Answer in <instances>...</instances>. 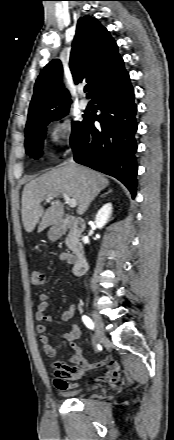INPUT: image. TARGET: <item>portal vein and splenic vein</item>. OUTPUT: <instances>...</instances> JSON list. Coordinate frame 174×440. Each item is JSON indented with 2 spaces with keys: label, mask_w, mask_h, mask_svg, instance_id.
<instances>
[{
  "label": "portal vein and splenic vein",
  "mask_w": 174,
  "mask_h": 440,
  "mask_svg": "<svg viewBox=\"0 0 174 440\" xmlns=\"http://www.w3.org/2000/svg\"><path fill=\"white\" fill-rule=\"evenodd\" d=\"M62 196H63L65 202H66L70 207L74 208V207L77 206V201H76L75 199L70 198L66 193H63ZM46 200H47V201H51V200H52V197L48 196V197L46 198Z\"/></svg>",
  "instance_id": "portal-vein-and-splenic-vein-1"
}]
</instances>
